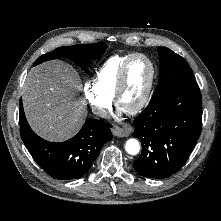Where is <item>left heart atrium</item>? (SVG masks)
Returning <instances> with one entry per match:
<instances>
[{
  "label": "left heart atrium",
  "instance_id": "left-heart-atrium-1",
  "mask_svg": "<svg viewBox=\"0 0 221 221\" xmlns=\"http://www.w3.org/2000/svg\"><path fill=\"white\" fill-rule=\"evenodd\" d=\"M122 111H123V109L120 108V109H119V113H121Z\"/></svg>",
  "mask_w": 221,
  "mask_h": 221
}]
</instances>
